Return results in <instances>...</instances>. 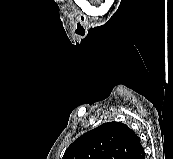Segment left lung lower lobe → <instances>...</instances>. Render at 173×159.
<instances>
[{
	"label": "left lung lower lobe",
	"instance_id": "1",
	"mask_svg": "<svg viewBox=\"0 0 173 159\" xmlns=\"http://www.w3.org/2000/svg\"><path fill=\"white\" fill-rule=\"evenodd\" d=\"M134 159H145V152L142 147V149L137 153V155L134 157Z\"/></svg>",
	"mask_w": 173,
	"mask_h": 159
}]
</instances>
